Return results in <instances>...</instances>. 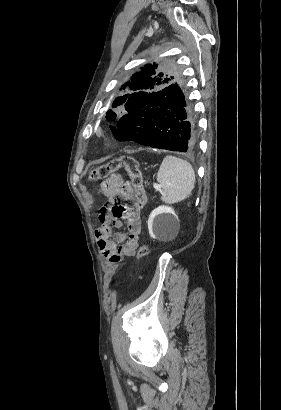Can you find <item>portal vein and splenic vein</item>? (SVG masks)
<instances>
[{"label": "portal vein and splenic vein", "mask_w": 281, "mask_h": 410, "mask_svg": "<svg viewBox=\"0 0 281 410\" xmlns=\"http://www.w3.org/2000/svg\"><path fill=\"white\" fill-rule=\"evenodd\" d=\"M153 187L155 188V189H160L161 188V186L160 185H158V184H153Z\"/></svg>", "instance_id": "obj_1"}]
</instances>
